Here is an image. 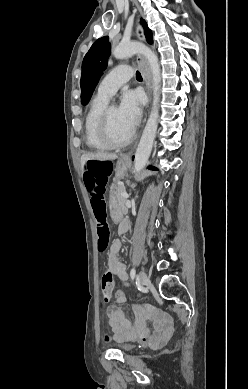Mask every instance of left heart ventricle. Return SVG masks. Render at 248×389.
I'll use <instances>...</instances> for the list:
<instances>
[{"instance_id":"left-heart-ventricle-1","label":"left heart ventricle","mask_w":248,"mask_h":389,"mask_svg":"<svg viewBox=\"0 0 248 389\" xmlns=\"http://www.w3.org/2000/svg\"><path fill=\"white\" fill-rule=\"evenodd\" d=\"M109 115H110L111 132L113 136L120 140L126 138L131 133L132 130L126 125V123L121 118L118 107L115 105L110 106Z\"/></svg>"}]
</instances>
